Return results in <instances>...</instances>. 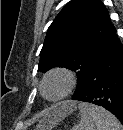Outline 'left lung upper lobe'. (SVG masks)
Listing matches in <instances>:
<instances>
[{"mask_svg":"<svg viewBox=\"0 0 123 130\" xmlns=\"http://www.w3.org/2000/svg\"><path fill=\"white\" fill-rule=\"evenodd\" d=\"M116 38L109 13L100 0H71L48 28L38 71L46 72L53 67L76 70L74 100L93 63Z\"/></svg>","mask_w":123,"mask_h":130,"instance_id":"1","label":"left lung upper lobe"}]
</instances>
